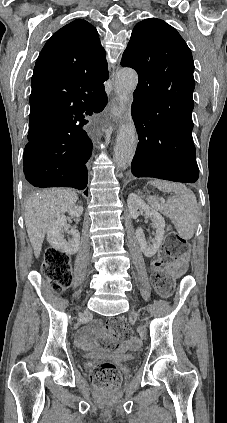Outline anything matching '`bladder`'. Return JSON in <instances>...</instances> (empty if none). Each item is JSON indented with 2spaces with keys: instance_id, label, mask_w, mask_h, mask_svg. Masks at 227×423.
Returning <instances> with one entry per match:
<instances>
[{
  "instance_id": "31cf9c89",
  "label": "bladder",
  "mask_w": 227,
  "mask_h": 423,
  "mask_svg": "<svg viewBox=\"0 0 227 423\" xmlns=\"http://www.w3.org/2000/svg\"><path fill=\"white\" fill-rule=\"evenodd\" d=\"M81 359L82 361L86 362L90 359H92V357L88 354H83L81 355ZM116 362L122 363V364H135L136 362V355L135 353H128L126 354L122 359H116Z\"/></svg>"
}]
</instances>
